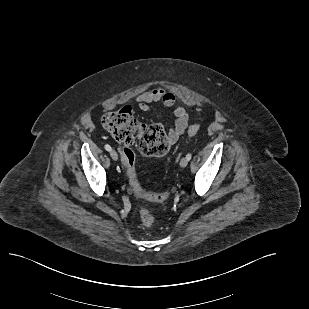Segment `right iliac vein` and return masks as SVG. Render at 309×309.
<instances>
[{
    "mask_svg": "<svg viewBox=\"0 0 309 309\" xmlns=\"http://www.w3.org/2000/svg\"><path fill=\"white\" fill-rule=\"evenodd\" d=\"M110 156L111 158L114 160V161H117L118 160V154L115 150H111L110 151Z\"/></svg>",
    "mask_w": 309,
    "mask_h": 309,
    "instance_id": "obj_1",
    "label": "right iliac vein"
}]
</instances>
